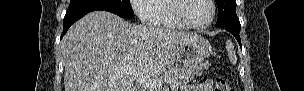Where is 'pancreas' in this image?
I'll list each match as a JSON object with an SVG mask.
<instances>
[{"label":"pancreas","mask_w":304,"mask_h":91,"mask_svg":"<svg viewBox=\"0 0 304 91\" xmlns=\"http://www.w3.org/2000/svg\"><path fill=\"white\" fill-rule=\"evenodd\" d=\"M203 70L200 67H174L166 72L163 77L160 78L161 81H168L172 87L176 86L177 88L184 87L190 80H192L195 75L201 76ZM147 91H156L154 89H147Z\"/></svg>","instance_id":"obj_1"}]
</instances>
